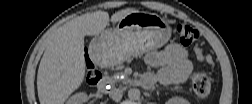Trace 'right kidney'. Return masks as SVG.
I'll use <instances>...</instances> for the list:
<instances>
[{
  "label": "right kidney",
  "instance_id": "ca27d5eb",
  "mask_svg": "<svg viewBox=\"0 0 252 104\" xmlns=\"http://www.w3.org/2000/svg\"><path fill=\"white\" fill-rule=\"evenodd\" d=\"M88 99V96L86 93L80 92L72 95L68 101L67 104H82L86 102Z\"/></svg>",
  "mask_w": 252,
  "mask_h": 104
}]
</instances>
